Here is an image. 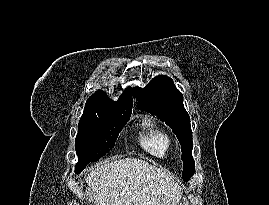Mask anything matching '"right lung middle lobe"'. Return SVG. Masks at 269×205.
I'll use <instances>...</instances> for the list:
<instances>
[{"label":"right lung middle lobe","mask_w":269,"mask_h":205,"mask_svg":"<svg viewBox=\"0 0 269 205\" xmlns=\"http://www.w3.org/2000/svg\"><path fill=\"white\" fill-rule=\"evenodd\" d=\"M130 116L123 117H81L75 150L78 163L75 173H80L91 161H98L114 147L115 140Z\"/></svg>","instance_id":"right-lung-middle-lobe-1"}]
</instances>
